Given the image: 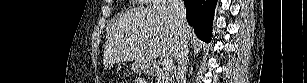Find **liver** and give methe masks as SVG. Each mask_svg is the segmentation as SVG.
Instances as JSON below:
<instances>
[{
	"mask_svg": "<svg viewBox=\"0 0 307 83\" xmlns=\"http://www.w3.org/2000/svg\"><path fill=\"white\" fill-rule=\"evenodd\" d=\"M193 31L187 28L188 39ZM178 23L171 6L156 5L131 10L115 18L107 32L104 66L134 61L149 68L160 56L175 59L179 46Z\"/></svg>",
	"mask_w": 307,
	"mask_h": 83,
	"instance_id": "6515ba94",
	"label": "liver"
}]
</instances>
